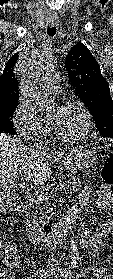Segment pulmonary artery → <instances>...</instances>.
I'll return each instance as SVG.
<instances>
[{"mask_svg": "<svg viewBox=\"0 0 113 279\" xmlns=\"http://www.w3.org/2000/svg\"><path fill=\"white\" fill-rule=\"evenodd\" d=\"M59 80L60 76L56 73L47 77L45 86L50 94H58L60 92Z\"/></svg>", "mask_w": 113, "mask_h": 279, "instance_id": "pulmonary-artery-1", "label": "pulmonary artery"}]
</instances>
